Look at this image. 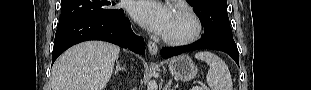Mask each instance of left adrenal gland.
<instances>
[{"label": "left adrenal gland", "mask_w": 311, "mask_h": 90, "mask_svg": "<svg viewBox=\"0 0 311 90\" xmlns=\"http://www.w3.org/2000/svg\"><path fill=\"white\" fill-rule=\"evenodd\" d=\"M171 82L172 80H169L168 84L165 86V90H171Z\"/></svg>", "instance_id": "left-adrenal-gland-1"}]
</instances>
